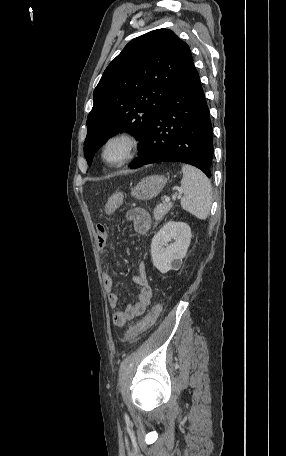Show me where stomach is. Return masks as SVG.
Returning <instances> with one entry per match:
<instances>
[{
  "instance_id": "0dacf381",
  "label": "stomach",
  "mask_w": 286,
  "mask_h": 456,
  "mask_svg": "<svg viewBox=\"0 0 286 456\" xmlns=\"http://www.w3.org/2000/svg\"><path fill=\"white\" fill-rule=\"evenodd\" d=\"M167 178L162 175H152L142 179L132 190V196L138 200L155 198L165 187Z\"/></svg>"
}]
</instances>
